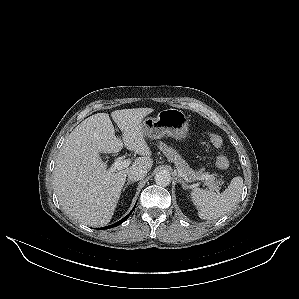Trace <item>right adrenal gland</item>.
Wrapping results in <instances>:
<instances>
[{
    "label": "right adrenal gland",
    "instance_id": "right-adrenal-gland-1",
    "mask_svg": "<svg viewBox=\"0 0 299 299\" xmlns=\"http://www.w3.org/2000/svg\"><path fill=\"white\" fill-rule=\"evenodd\" d=\"M130 183H133V182L127 181V183H126L125 186L123 187V191H125V189L127 188V186H128Z\"/></svg>",
    "mask_w": 299,
    "mask_h": 299
}]
</instances>
